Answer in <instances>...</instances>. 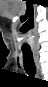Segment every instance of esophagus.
<instances>
[{
	"label": "esophagus",
	"mask_w": 48,
	"mask_h": 87,
	"mask_svg": "<svg viewBox=\"0 0 48 87\" xmlns=\"http://www.w3.org/2000/svg\"><path fill=\"white\" fill-rule=\"evenodd\" d=\"M33 59H34V63L37 69V72L39 73V63H38V57L36 53H33Z\"/></svg>",
	"instance_id": "34e87169"
}]
</instances>
